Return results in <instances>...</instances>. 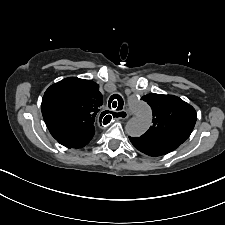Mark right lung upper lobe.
I'll use <instances>...</instances> for the list:
<instances>
[{
    "label": "right lung upper lobe",
    "mask_w": 225,
    "mask_h": 225,
    "mask_svg": "<svg viewBox=\"0 0 225 225\" xmlns=\"http://www.w3.org/2000/svg\"><path fill=\"white\" fill-rule=\"evenodd\" d=\"M102 102L98 84L69 77L46 90L42 99V115L48 128H73L94 133V122L98 119Z\"/></svg>",
    "instance_id": "right-lung-upper-lobe-1"
}]
</instances>
